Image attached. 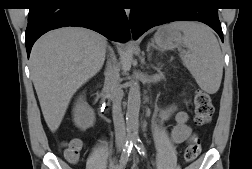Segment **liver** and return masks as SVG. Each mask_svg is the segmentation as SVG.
I'll list each match as a JSON object with an SVG mask.
<instances>
[{
	"instance_id": "liver-1",
	"label": "liver",
	"mask_w": 252,
	"mask_h": 169,
	"mask_svg": "<svg viewBox=\"0 0 252 169\" xmlns=\"http://www.w3.org/2000/svg\"><path fill=\"white\" fill-rule=\"evenodd\" d=\"M107 39L80 27L52 30L32 47L29 67L45 122L55 132L77 92L102 68Z\"/></svg>"
}]
</instances>
